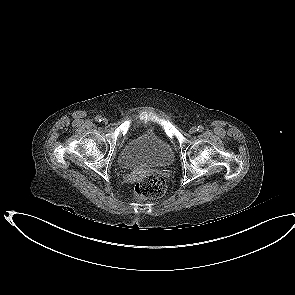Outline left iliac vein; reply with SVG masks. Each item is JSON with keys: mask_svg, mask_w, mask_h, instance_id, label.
<instances>
[{"mask_svg": "<svg viewBox=\"0 0 295 295\" xmlns=\"http://www.w3.org/2000/svg\"><path fill=\"white\" fill-rule=\"evenodd\" d=\"M197 131V128L196 127H191L190 130H189V133L193 134Z\"/></svg>", "mask_w": 295, "mask_h": 295, "instance_id": "left-iliac-vein-1", "label": "left iliac vein"}]
</instances>
